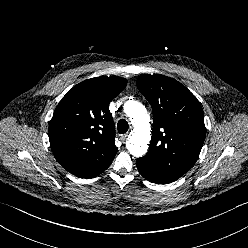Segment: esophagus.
Wrapping results in <instances>:
<instances>
[{
  "instance_id": "1",
  "label": "esophagus",
  "mask_w": 248,
  "mask_h": 248,
  "mask_svg": "<svg viewBox=\"0 0 248 248\" xmlns=\"http://www.w3.org/2000/svg\"><path fill=\"white\" fill-rule=\"evenodd\" d=\"M127 137H128V134L127 133L120 135V139L122 141H124Z\"/></svg>"
}]
</instances>
